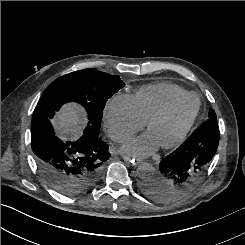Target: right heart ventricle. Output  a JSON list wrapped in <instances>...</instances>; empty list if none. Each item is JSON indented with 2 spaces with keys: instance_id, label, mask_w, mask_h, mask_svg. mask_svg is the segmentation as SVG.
Masks as SVG:
<instances>
[{
  "instance_id": "e07e8e85",
  "label": "right heart ventricle",
  "mask_w": 245,
  "mask_h": 245,
  "mask_svg": "<svg viewBox=\"0 0 245 245\" xmlns=\"http://www.w3.org/2000/svg\"><path fill=\"white\" fill-rule=\"evenodd\" d=\"M188 93V91L175 84L157 83L139 88L132 98L140 119L146 122L169 102Z\"/></svg>"
}]
</instances>
